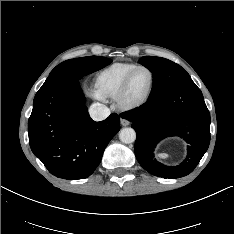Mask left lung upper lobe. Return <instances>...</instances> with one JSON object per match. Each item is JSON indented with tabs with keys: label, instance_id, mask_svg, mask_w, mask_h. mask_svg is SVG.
I'll list each match as a JSON object with an SVG mask.
<instances>
[{
	"label": "left lung upper lobe",
	"instance_id": "left-lung-upper-lobe-1",
	"mask_svg": "<svg viewBox=\"0 0 234 234\" xmlns=\"http://www.w3.org/2000/svg\"><path fill=\"white\" fill-rule=\"evenodd\" d=\"M138 62L152 72L153 87L149 97L190 78L180 65L165 58L144 56Z\"/></svg>",
	"mask_w": 234,
	"mask_h": 234
}]
</instances>
